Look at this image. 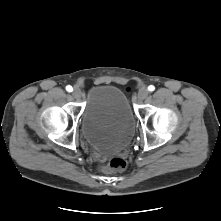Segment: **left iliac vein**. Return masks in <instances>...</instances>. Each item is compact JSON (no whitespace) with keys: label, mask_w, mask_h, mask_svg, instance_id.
I'll return each instance as SVG.
<instances>
[{"label":"left iliac vein","mask_w":221,"mask_h":221,"mask_svg":"<svg viewBox=\"0 0 221 221\" xmlns=\"http://www.w3.org/2000/svg\"><path fill=\"white\" fill-rule=\"evenodd\" d=\"M148 96V89L146 87H142L138 91L137 98L139 101L144 100Z\"/></svg>","instance_id":"obj_1"}]
</instances>
